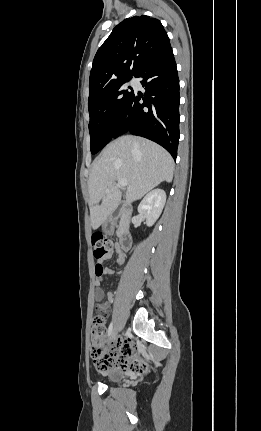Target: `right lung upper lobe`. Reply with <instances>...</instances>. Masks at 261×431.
I'll list each match as a JSON object with an SVG mask.
<instances>
[{"label": "right lung upper lobe", "instance_id": "obj_1", "mask_svg": "<svg viewBox=\"0 0 261 431\" xmlns=\"http://www.w3.org/2000/svg\"><path fill=\"white\" fill-rule=\"evenodd\" d=\"M169 47L168 35L158 19L145 15L125 19L113 29L94 57L89 94L136 76Z\"/></svg>", "mask_w": 261, "mask_h": 431}]
</instances>
